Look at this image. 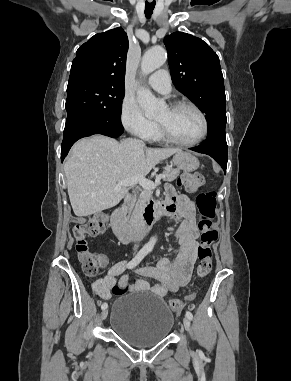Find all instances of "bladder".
<instances>
[{"label": "bladder", "mask_w": 291, "mask_h": 381, "mask_svg": "<svg viewBox=\"0 0 291 381\" xmlns=\"http://www.w3.org/2000/svg\"><path fill=\"white\" fill-rule=\"evenodd\" d=\"M173 323V313L165 301L146 292H131L112 304L111 330L138 348H148L164 340Z\"/></svg>", "instance_id": "1"}]
</instances>
